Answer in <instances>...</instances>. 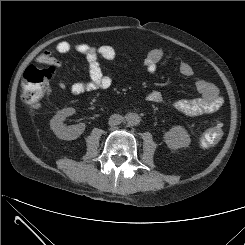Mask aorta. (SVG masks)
<instances>
[{
    "mask_svg": "<svg viewBox=\"0 0 245 245\" xmlns=\"http://www.w3.org/2000/svg\"><path fill=\"white\" fill-rule=\"evenodd\" d=\"M140 116L137 113H129L126 115V121L129 125L136 126L140 123Z\"/></svg>",
    "mask_w": 245,
    "mask_h": 245,
    "instance_id": "1",
    "label": "aorta"
}]
</instances>
